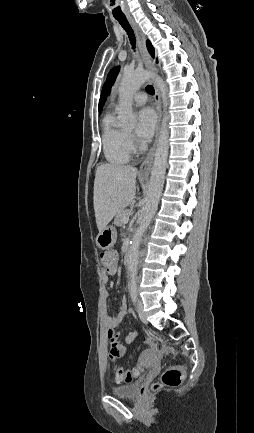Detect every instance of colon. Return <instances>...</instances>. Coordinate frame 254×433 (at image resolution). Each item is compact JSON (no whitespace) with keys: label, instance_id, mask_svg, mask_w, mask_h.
<instances>
[{"label":"colon","instance_id":"5ec220e1","mask_svg":"<svg viewBox=\"0 0 254 433\" xmlns=\"http://www.w3.org/2000/svg\"><path fill=\"white\" fill-rule=\"evenodd\" d=\"M100 262L108 275H114L117 271V253L114 250H107L100 254ZM155 357L150 351H145L141 354L138 367L134 370L116 371L115 377L117 381L131 382L139 372L144 368L154 363ZM184 378L182 367H170L162 375V384L168 387H178L181 385Z\"/></svg>","mask_w":254,"mask_h":433}]
</instances>
